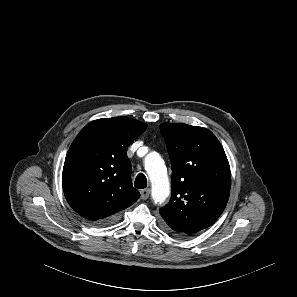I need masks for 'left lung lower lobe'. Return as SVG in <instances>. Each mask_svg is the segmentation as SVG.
<instances>
[{"instance_id":"1","label":"left lung lower lobe","mask_w":297,"mask_h":297,"mask_svg":"<svg viewBox=\"0 0 297 297\" xmlns=\"http://www.w3.org/2000/svg\"><path fill=\"white\" fill-rule=\"evenodd\" d=\"M165 230H166L169 234H171V235H173V236H175V237H180L179 235H177V234H175V233H173V232L167 230L166 228H165Z\"/></svg>"}]
</instances>
